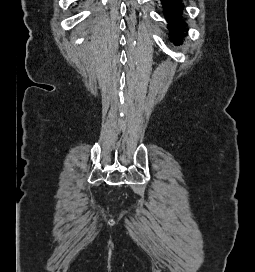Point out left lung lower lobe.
<instances>
[{
  "instance_id": "1",
  "label": "left lung lower lobe",
  "mask_w": 255,
  "mask_h": 272,
  "mask_svg": "<svg viewBox=\"0 0 255 272\" xmlns=\"http://www.w3.org/2000/svg\"><path fill=\"white\" fill-rule=\"evenodd\" d=\"M161 2L163 4L166 19L169 22L170 32L177 35L175 37H171V41L179 43L181 41V36H184V26L186 25V23L181 19L183 4L181 3V0H161Z\"/></svg>"
}]
</instances>
